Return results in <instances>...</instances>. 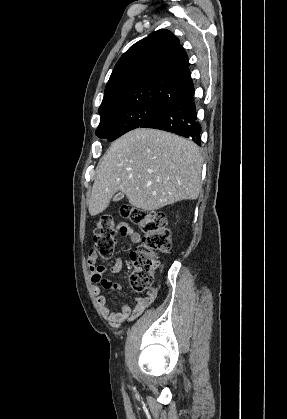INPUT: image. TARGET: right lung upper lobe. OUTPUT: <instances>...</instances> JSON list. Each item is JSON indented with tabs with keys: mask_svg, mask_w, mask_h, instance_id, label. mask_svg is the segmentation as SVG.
<instances>
[{
	"mask_svg": "<svg viewBox=\"0 0 287 419\" xmlns=\"http://www.w3.org/2000/svg\"><path fill=\"white\" fill-rule=\"evenodd\" d=\"M194 91L189 61L179 40L161 29L135 43L118 60L99 114L140 102L168 104Z\"/></svg>",
	"mask_w": 287,
	"mask_h": 419,
	"instance_id": "obj_1",
	"label": "right lung upper lobe"
}]
</instances>
